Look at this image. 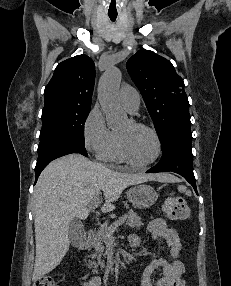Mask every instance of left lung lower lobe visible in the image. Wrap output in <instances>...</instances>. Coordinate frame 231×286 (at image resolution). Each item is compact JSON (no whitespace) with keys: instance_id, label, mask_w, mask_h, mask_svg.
<instances>
[{"instance_id":"0a47b994","label":"left lung lower lobe","mask_w":231,"mask_h":286,"mask_svg":"<svg viewBox=\"0 0 231 286\" xmlns=\"http://www.w3.org/2000/svg\"><path fill=\"white\" fill-rule=\"evenodd\" d=\"M163 155L160 162L147 173L172 171L183 176L197 193L193 173L191 151L192 135L190 128H175L160 139Z\"/></svg>"}]
</instances>
